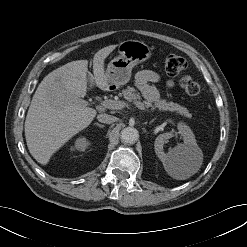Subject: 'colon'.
Returning a JSON list of instances; mask_svg holds the SVG:
<instances>
[{
  "mask_svg": "<svg viewBox=\"0 0 247 247\" xmlns=\"http://www.w3.org/2000/svg\"><path fill=\"white\" fill-rule=\"evenodd\" d=\"M187 68L186 60L176 54H169L165 58V70L169 75H179ZM180 86L183 91L190 96H196L200 92V84L198 81L190 76L184 75L180 79Z\"/></svg>",
  "mask_w": 247,
  "mask_h": 247,
  "instance_id": "1",
  "label": "colon"
}]
</instances>
